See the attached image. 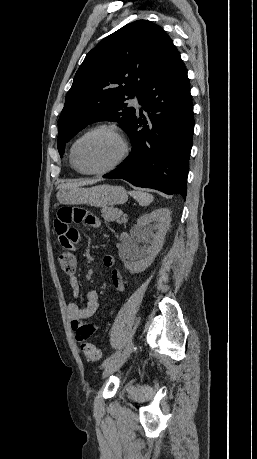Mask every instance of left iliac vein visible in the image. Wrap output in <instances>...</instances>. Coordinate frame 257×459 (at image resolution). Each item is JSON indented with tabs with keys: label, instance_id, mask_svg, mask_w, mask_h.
<instances>
[{
	"label": "left iliac vein",
	"instance_id": "left-iliac-vein-1",
	"mask_svg": "<svg viewBox=\"0 0 257 459\" xmlns=\"http://www.w3.org/2000/svg\"><path fill=\"white\" fill-rule=\"evenodd\" d=\"M133 348H134V344L133 343H129L122 354H120L108 366L104 367L102 377L106 378L109 375L113 374L115 371H117L127 361V359L129 358Z\"/></svg>",
	"mask_w": 257,
	"mask_h": 459
}]
</instances>
